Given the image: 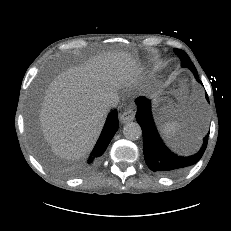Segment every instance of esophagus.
Returning a JSON list of instances; mask_svg holds the SVG:
<instances>
[{"instance_id":"esophagus-1","label":"esophagus","mask_w":231,"mask_h":231,"mask_svg":"<svg viewBox=\"0 0 231 231\" xmlns=\"http://www.w3.org/2000/svg\"><path fill=\"white\" fill-rule=\"evenodd\" d=\"M134 119H135V112L131 108L125 109L119 115V120L123 124L129 123V122L133 121Z\"/></svg>"}]
</instances>
